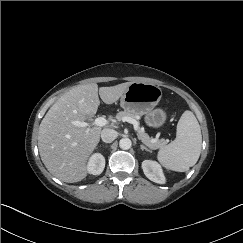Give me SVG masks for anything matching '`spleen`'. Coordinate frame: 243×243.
<instances>
[{
  "mask_svg": "<svg viewBox=\"0 0 243 243\" xmlns=\"http://www.w3.org/2000/svg\"><path fill=\"white\" fill-rule=\"evenodd\" d=\"M201 147L200 125L193 112L186 110L178 121L176 139L162 147L157 158L166 169L186 172L198 161Z\"/></svg>",
  "mask_w": 243,
  "mask_h": 243,
  "instance_id": "1",
  "label": "spleen"
}]
</instances>
